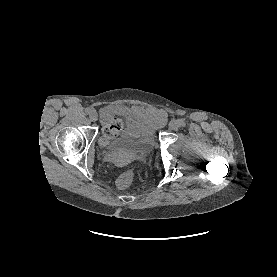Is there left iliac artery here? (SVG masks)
I'll use <instances>...</instances> for the list:
<instances>
[{
	"label": "left iliac artery",
	"instance_id": "obj_1",
	"mask_svg": "<svg viewBox=\"0 0 277 277\" xmlns=\"http://www.w3.org/2000/svg\"><path fill=\"white\" fill-rule=\"evenodd\" d=\"M178 121L180 123V126H182V127L185 126V121L183 119H179Z\"/></svg>",
	"mask_w": 277,
	"mask_h": 277
}]
</instances>
